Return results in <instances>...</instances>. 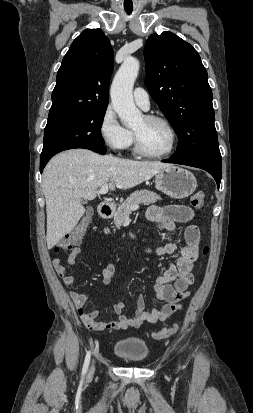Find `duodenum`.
<instances>
[{"instance_id": "obj_1", "label": "duodenum", "mask_w": 253, "mask_h": 413, "mask_svg": "<svg viewBox=\"0 0 253 413\" xmlns=\"http://www.w3.org/2000/svg\"><path fill=\"white\" fill-rule=\"evenodd\" d=\"M98 212L102 218L108 219L112 217L114 213V207L108 202H102L99 204Z\"/></svg>"}]
</instances>
